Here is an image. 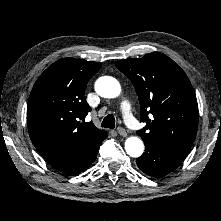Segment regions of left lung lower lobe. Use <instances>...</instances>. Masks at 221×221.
I'll use <instances>...</instances> for the list:
<instances>
[{"label":"left lung lower lobe","instance_id":"left-lung-lower-lobe-1","mask_svg":"<svg viewBox=\"0 0 221 221\" xmlns=\"http://www.w3.org/2000/svg\"><path fill=\"white\" fill-rule=\"evenodd\" d=\"M144 144L145 152L136 163L145 174L153 177H162L175 170L188 153L158 142L144 141Z\"/></svg>","mask_w":221,"mask_h":221}]
</instances>
